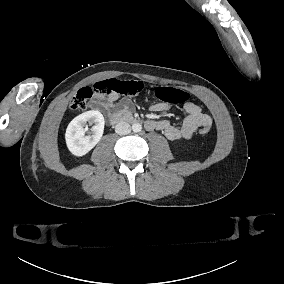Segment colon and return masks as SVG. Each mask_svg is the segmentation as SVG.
I'll list each match as a JSON object with an SVG mask.
<instances>
[{"label":"colon","instance_id":"1","mask_svg":"<svg viewBox=\"0 0 284 284\" xmlns=\"http://www.w3.org/2000/svg\"><path fill=\"white\" fill-rule=\"evenodd\" d=\"M145 82L143 80H103L83 86L71 99V108L80 109L85 106L97 94H121L134 96L143 91ZM158 98L171 105H185L189 101V94L185 90H177L167 87L161 90ZM212 125L207 123L199 130L200 134L209 135Z\"/></svg>","mask_w":284,"mask_h":284}]
</instances>
